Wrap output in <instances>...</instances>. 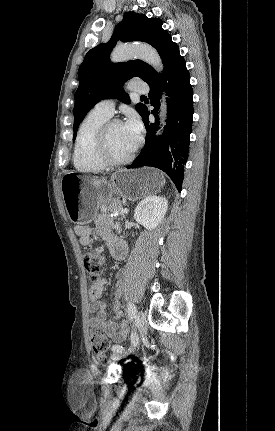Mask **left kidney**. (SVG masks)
Listing matches in <instances>:
<instances>
[{
	"mask_svg": "<svg viewBox=\"0 0 275 431\" xmlns=\"http://www.w3.org/2000/svg\"><path fill=\"white\" fill-rule=\"evenodd\" d=\"M168 209V201L160 196H148L135 208L134 219L147 230L155 229L163 220Z\"/></svg>",
	"mask_w": 275,
	"mask_h": 431,
	"instance_id": "5707ae66",
	"label": "left kidney"
}]
</instances>
